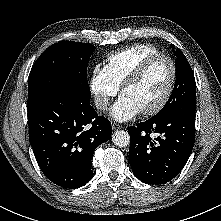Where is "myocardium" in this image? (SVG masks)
Returning a JSON list of instances; mask_svg holds the SVG:
<instances>
[{"label": "myocardium", "mask_w": 221, "mask_h": 221, "mask_svg": "<svg viewBox=\"0 0 221 221\" xmlns=\"http://www.w3.org/2000/svg\"><path fill=\"white\" fill-rule=\"evenodd\" d=\"M164 58L167 59L171 65V78L167 87V90L161 100L152 108L141 111L144 116H152L159 113L168 104L174 92L175 84L177 81L178 70L175 60L167 53L158 52L149 55L144 60H142L128 75L124 82L120 86V93L123 94L124 90L132 85H134L140 77L144 74L148 66L156 59Z\"/></svg>", "instance_id": "myocardium-1"}]
</instances>
